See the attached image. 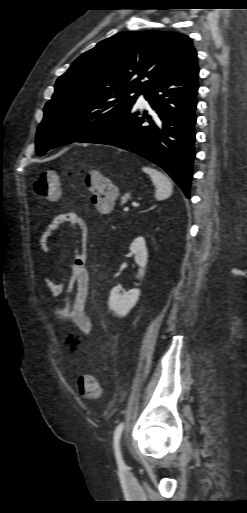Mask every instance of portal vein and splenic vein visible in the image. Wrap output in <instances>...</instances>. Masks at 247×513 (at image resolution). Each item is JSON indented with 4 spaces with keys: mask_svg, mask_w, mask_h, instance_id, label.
Returning a JSON list of instances; mask_svg holds the SVG:
<instances>
[{
    "mask_svg": "<svg viewBox=\"0 0 247 513\" xmlns=\"http://www.w3.org/2000/svg\"><path fill=\"white\" fill-rule=\"evenodd\" d=\"M123 211H124V212H128V211H129V208H128V207H124Z\"/></svg>",
    "mask_w": 247,
    "mask_h": 513,
    "instance_id": "portal-vein-and-splenic-vein-1",
    "label": "portal vein and splenic vein"
}]
</instances>
